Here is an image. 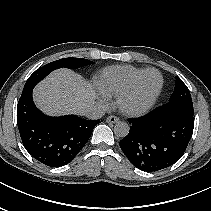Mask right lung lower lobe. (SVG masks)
<instances>
[{"label":"right lung lower lobe","instance_id":"1","mask_svg":"<svg viewBox=\"0 0 211 211\" xmlns=\"http://www.w3.org/2000/svg\"><path fill=\"white\" fill-rule=\"evenodd\" d=\"M99 122L75 115L46 116L33 103L32 90L22 94L17 105V124L25 149L33 158L50 167L71 162Z\"/></svg>","mask_w":211,"mask_h":211}]
</instances>
